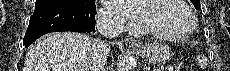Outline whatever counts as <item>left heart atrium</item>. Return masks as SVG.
I'll return each instance as SVG.
<instances>
[{
	"mask_svg": "<svg viewBox=\"0 0 230 71\" xmlns=\"http://www.w3.org/2000/svg\"><path fill=\"white\" fill-rule=\"evenodd\" d=\"M141 2L129 0H110L109 4L125 13L128 17L136 19L140 16L143 18V10L140 7Z\"/></svg>",
	"mask_w": 230,
	"mask_h": 71,
	"instance_id": "1",
	"label": "left heart atrium"
}]
</instances>
